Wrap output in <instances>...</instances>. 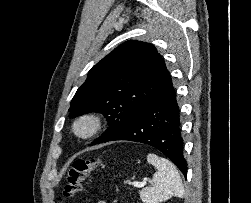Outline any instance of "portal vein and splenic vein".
Instances as JSON below:
<instances>
[{"instance_id": "1", "label": "portal vein and splenic vein", "mask_w": 251, "mask_h": 203, "mask_svg": "<svg viewBox=\"0 0 251 203\" xmlns=\"http://www.w3.org/2000/svg\"><path fill=\"white\" fill-rule=\"evenodd\" d=\"M132 185L137 188H142L148 185L146 181L143 182H133Z\"/></svg>"}]
</instances>
